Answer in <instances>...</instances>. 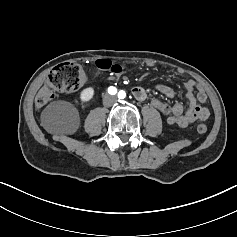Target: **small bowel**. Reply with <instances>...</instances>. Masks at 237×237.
Returning a JSON list of instances; mask_svg holds the SVG:
<instances>
[{"label":"small bowel","mask_w":237,"mask_h":237,"mask_svg":"<svg viewBox=\"0 0 237 237\" xmlns=\"http://www.w3.org/2000/svg\"><path fill=\"white\" fill-rule=\"evenodd\" d=\"M156 88L167 98L174 96L173 90L165 84H158ZM185 88L189 101L187 110L180 103L170 105L161 99L151 101V105L166 116V121L170 125L188 127L197 121H205L210 115L209 108L206 106L207 95L204 88L192 79L185 83ZM131 92L134 98L140 102L148 98L146 89L141 86L132 87Z\"/></svg>","instance_id":"small-bowel-1"}]
</instances>
